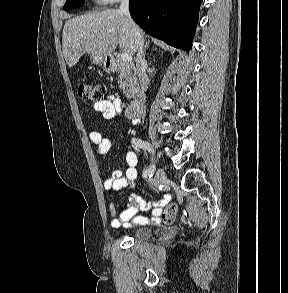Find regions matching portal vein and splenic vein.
<instances>
[{"instance_id":"portal-vein-and-splenic-vein-1","label":"portal vein and splenic vein","mask_w":288,"mask_h":293,"mask_svg":"<svg viewBox=\"0 0 288 293\" xmlns=\"http://www.w3.org/2000/svg\"><path fill=\"white\" fill-rule=\"evenodd\" d=\"M120 60L125 63H129L132 61V56L129 53H122L120 55Z\"/></svg>"}]
</instances>
